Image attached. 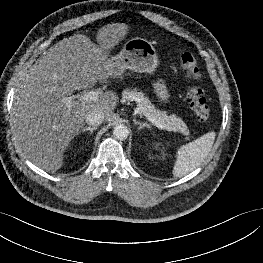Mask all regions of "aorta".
I'll list each match as a JSON object with an SVG mask.
<instances>
[{"instance_id":"aorta-1","label":"aorta","mask_w":263,"mask_h":263,"mask_svg":"<svg viewBox=\"0 0 263 263\" xmlns=\"http://www.w3.org/2000/svg\"><path fill=\"white\" fill-rule=\"evenodd\" d=\"M113 135L118 140H125L129 135L128 127L124 124H119L114 127Z\"/></svg>"}]
</instances>
